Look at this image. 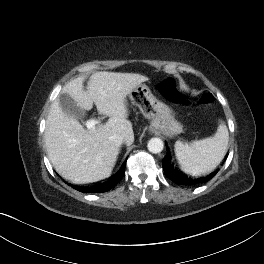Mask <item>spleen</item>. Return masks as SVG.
Wrapping results in <instances>:
<instances>
[{
    "label": "spleen",
    "instance_id": "3e777b00",
    "mask_svg": "<svg viewBox=\"0 0 264 264\" xmlns=\"http://www.w3.org/2000/svg\"><path fill=\"white\" fill-rule=\"evenodd\" d=\"M229 133L224 123L213 137L194 141L190 145L176 141L174 148L181 168L188 173L205 174L213 171L228 149Z\"/></svg>",
    "mask_w": 264,
    "mask_h": 264
}]
</instances>
